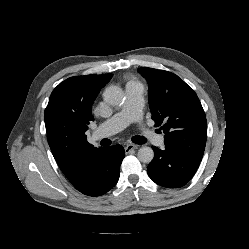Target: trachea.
Masks as SVG:
<instances>
[{
  "label": "trachea",
  "instance_id": "3493384b",
  "mask_svg": "<svg viewBox=\"0 0 249 249\" xmlns=\"http://www.w3.org/2000/svg\"><path fill=\"white\" fill-rule=\"evenodd\" d=\"M132 141L136 144H145L147 140L143 136H134Z\"/></svg>",
  "mask_w": 249,
  "mask_h": 249
}]
</instances>
